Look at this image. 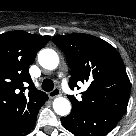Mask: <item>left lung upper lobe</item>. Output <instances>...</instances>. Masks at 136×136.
Here are the masks:
<instances>
[{"mask_svg": "<svg viewBox=\"0 0 136 136\" xmlns=\"http://www.w3.org/2000/svg\"><path fill=\"white\" fill-rule=\"evenodd\" d=\"M53 42L65 53L71 89L88 82L82 99L68 96L72 110H84L122 117L126 111L130 81L116 49L106 41L88 34L56 36Z\"/></svg>", "mask_w": 136, "mask_h": 136, "instance_id": "left-lung-upper-lobe-1", "label": "left lung upper lobe"}]
</instances>
